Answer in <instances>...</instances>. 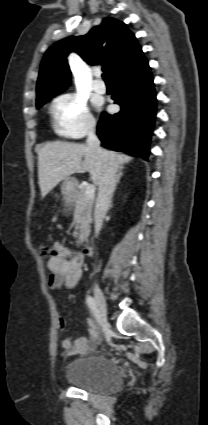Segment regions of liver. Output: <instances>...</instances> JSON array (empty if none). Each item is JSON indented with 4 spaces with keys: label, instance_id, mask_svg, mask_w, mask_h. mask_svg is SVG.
<instances>
[{
    "label": "liver",
    "instance_id": "1",
    "mask_svg": "<svg viewBox=\"0 0 208 425\" xmlns=\"http://www.w3.org/2000/svg\"><path fill=\"white\" fill-rule=\"evenodd\" d=\"M108 152L113 154L120 165L132 160V157L127 155ZM103 169V158L87 145L60 141L46 143L38 151L41 196L45 197L60 181L74 173L89 172L92 181L99 185Z\"/></svg>",
    "mask_w": 208,
    "mask_h": 425
}]
</instances>
